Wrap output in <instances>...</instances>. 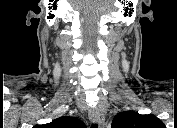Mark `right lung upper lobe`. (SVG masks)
<instances>
[{
    "label": "right lung upper lobe",
    "instance_id": "cb5924a9",
    "mask_svg": "<svg viewBox=\"0 0 177 128\" xmlns=\"http://www.w3.org/2000/svg\"><path fill=\"white\" fill-rule=\"evenodd\" d=\"M47 126L49 128H84L85 124L75 117L62 116L54 119Z\"/></svg>",
    "mask_w": 177,
    "mask_h": 128
}]
</instances>
